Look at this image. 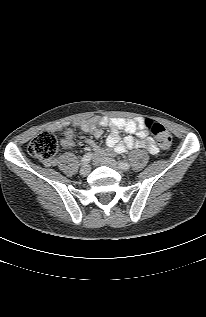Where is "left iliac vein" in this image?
I'll use <instances>...</instances> for the list:
<instances>
[{
	"label": "left iliac vein",
	"instance_id": "4c4485c4",
	"mask_svg": "<svg viewBox=\"0 0 206 317\" xmlns=\"http://www.w3.org/2000/svg\"><path fill=\"white\" fill-rule=\"evenodd\" d=\"M101 164L109 166L113 169H115L116 171H118L119 173L123 172V169L120 167V165L113 159L108 158V157H103L100 159Z\"/></svg>",
	"mask_w": 206,
	"mask_h": 317
}]
</instances>
